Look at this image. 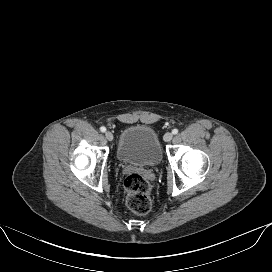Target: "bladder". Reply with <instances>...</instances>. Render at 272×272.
<instances>
[{"instance_id": "1", "label": "bladder", "mask_w": 272, "mask_h": 272, "mask_svg": "<svg viewBox=\"0 0 272 272\" xmlns=\"http://www.w3.org/2000/svg\"><path fill=\"white\" fill-rule=\"evenodd\" d=\"M117 158L120 162L141 167H155L162 160L157 133L149 126H129L121 133Z\"/></svg>"}]
</instances>
